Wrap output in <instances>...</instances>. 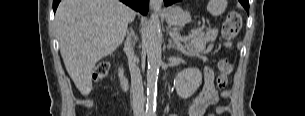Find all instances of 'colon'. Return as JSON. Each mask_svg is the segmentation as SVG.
I'll return each mask as SVG.
<instances>
[{
    "label": "colon",
    "mask_w": 305,
    "mask_h": 116,
    "mask_svg": "<svg viewBox=\"0 0 305 116\" xmlns=\"http://www.w3.org/2000/svg\"><path fill=\"white\" fill-rule=\"evenodd\" d=\"M242 25V19L239 13L231 11L227 14L222 26V35L225 40L226 47L232 45L233 39L237 36ZM219 74L217 76V86L224 88L228 85V77L233 71L232 63L223 58L218 63ZM109 72V64L107 62H100L95 65L92 73V78L95 82L105 78Z\"/></svg>",
    "instance_id": "5ec220e1"
}]
</instances>
